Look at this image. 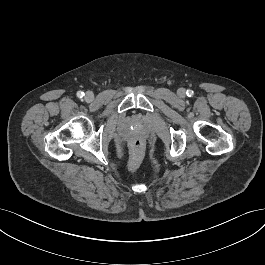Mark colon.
Instances as JSON below:
<instances>
[{
    "label": "colon",
    "instance_id": "5ec220e1",
    "mask_svg": "<svg viewBox=\"0 0 265 265\" xmlns=\"http://www.w3.org/2000/svg\"><path fill=\"white\" fill-rule=\"evenodd\" d=\"M144 155L143 144L139 140H135L131 143L130 157L128 161L129 169H136L141 163Z\"/></svg>",
    "mask_w": 265,
    "mask_h": 265
}]
</instances>
